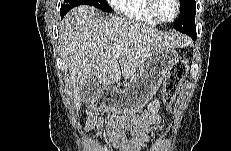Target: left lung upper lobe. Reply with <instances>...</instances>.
Returning <instances> with one entry per match:
<instances>
[{
  "mask_svg": "<svg viewBox=\"0 0 231 151\" xmlns=\"http://www.w3.org/2000/svg\"><path fill=\"white\" fill-rule=\"evenodd\" d=\"M181 10L180 17L174 24V29L188 34L196 31L195 14L196 2L195 0H180Z\"/></svg>",
  "mask_w": 231,
  "mask_h": 151,
  "instance_id": "left-lung-upper-lobe-1",
  "label": "left lung upper lobe"
}]
</instances>
